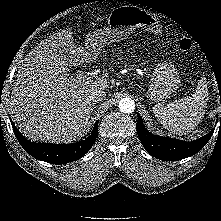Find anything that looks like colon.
Here are the masks:
<instances>
[{"label":"colon","instance_id":"1","mask_svg":"<svg viewBox=\"0 0 221 221\" xmlns=\"http://www.w3.org/2000/svg\"><path fill=\"white\" fill-rule=\"evenodd\" d=\"M179 47L182 52L188 53L192 49L193 43L189 37L183 36L179 41Z\"/></svg>","mask_w":221,"mask_h":221}]
</instances>
